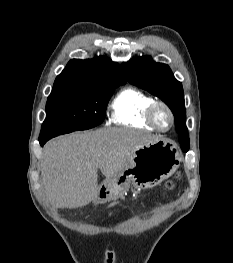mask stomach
Segmentation results:
<instances>
[{"mask_svg": "<svg viewBox=\"0 0 233 263\" xmlns=\"http://www.w3.org/2000/svg\"><path fill=\"white\" fill-rule=\"evenodd\" d=\"M180 153L170 141L156 138L135 148L123 168L99 188L95 205L123 197L130 187L148 189L172 176L180 165Z\"/></svg>", "mask_w": 233, "mask_h": 263, "instance_id": "1", "label": "stomach"}]
</instances>
